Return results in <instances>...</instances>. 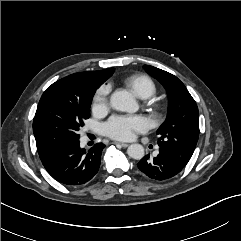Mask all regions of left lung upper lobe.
<instances>
[{
	"instance_id": "left-lung-upper-lobe-1",
	"label": "left lung upper lobe",
	"mask_w": 241,
	"mask_h": 241,
	"mask_svg": "<svg viewBox=\"0 0 241 241\" xmlns=\"http://www.w3.org/2000/svg\"><path fill=\"white\" fill-rule=\"evenodd\" d=\"M144 68L164 86L169 98L167 119L157 130L160 136L158 145L186 165L199 137V112L196 102L174 75L149 65Z\"/></svg>"
}]
</instances>
